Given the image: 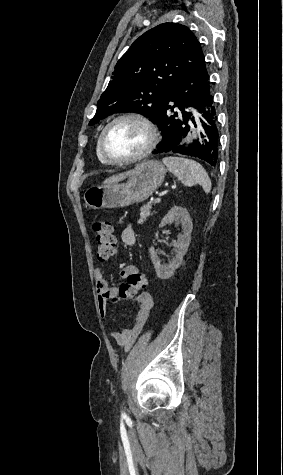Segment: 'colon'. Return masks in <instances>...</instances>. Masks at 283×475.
I'll return each mask as SVG.
<instances>
[{
    "label": "colon",
    "mask_w": 283,
    "mask_h": 475,
    "mask_svg": "<svg viewBox=\"0 0 283 475\" xmlns=\"http://www.w3.org/2000/svg\"><path fill=\"white\" fill-rule=\"evenodd\" d=\"M92 228L95 232L96 258L100 262H105L116 253L113 226L105 220H94ZM127 282L125 285L117 287L118 297L122 302L131 300L132 296L145 290L148 279L144 278L143 274L135 272L128 275Z\"/></svg>",
    "instance_id": "5ec220e1"
}]
</instances>
